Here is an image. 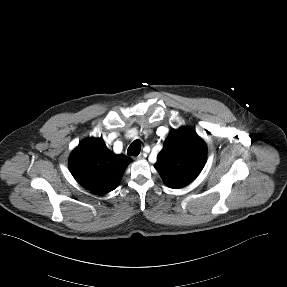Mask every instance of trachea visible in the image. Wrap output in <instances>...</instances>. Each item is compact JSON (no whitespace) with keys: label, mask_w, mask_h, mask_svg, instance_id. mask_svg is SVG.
Masks as SVG:
<instances>
[{"label":"trachea","mask_w":287,"mask_h":287,"mask_svg":"<svg viewBox=\"0 0 287 287\" xmlns=\"http://www.w3.org/2000/svg\"><path fill=\"white\" fill-rule=\"evenodd\" d=\"M140 151H141V142H140V140H135L129 146L127 153L131 156H137V155H139Z\"/></svg>","instance_id":"obj_1"}]
</instances>
